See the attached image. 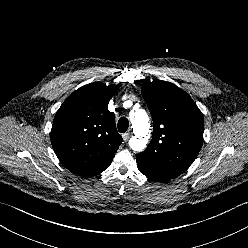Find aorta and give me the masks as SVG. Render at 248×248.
Wrapping results in <instances>:
<instances>
[{
  "mask_svg": "<svg viewBox=\"0 0 248 248\" xmlns=\"http://www.w3.org/2000/svg\"><path fill=\"white\" fill-rule=\"evenodd\" d=\"M130 119L134 132V138L130 144L131 148L135 151H142L150 132L149 117L145 110L137 109L131 112Z\"/></svg>",
  "mask_w": 248,
  "mask_h": 248,
  "instance_id": "762f6f07",
  "label": "aorta"
}]
</instances>
